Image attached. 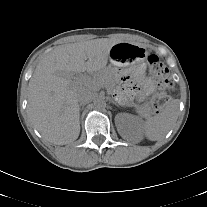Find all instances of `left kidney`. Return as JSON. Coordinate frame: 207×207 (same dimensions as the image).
I'll return each mask as SVG.
<instances>
[{
    "instance_id": "left-kidney-1",
    "label": "left kidney",
    "mask_w": 207,
    "mask_h": 207,
    "mask_svg": "<svg viewBox=\"0 0 207 207\" xmlns=\"http://www.w3.org/2000/svg\"><path fill=\"white\" fill-rule=\"evenodd\" d=\"M118 132L126 140H138L141 137V120L128 113H120L115 117Z\"/></svg>"
}]
</instances>
